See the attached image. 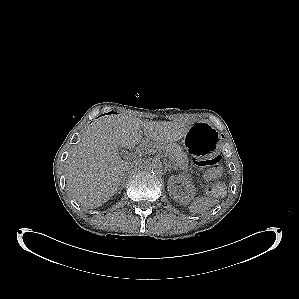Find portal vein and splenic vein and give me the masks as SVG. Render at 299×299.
Masks as SVG:
<instances>
[{"instance_id": "1", "label": "portal vein and splenic vein", "mask_w": 299, "mask_h": 299, "mask_svg": "<svg viewBox=\"0 0 299 299\" xmlns=\"http://www.w3.org/2000/svg\"><path fill=\"white\" fill-rule=\"evenodd\" d=\"M143 150H144V144L143 146L138 147L136 151L137 153H141Z\"/></svg>"}]
</instances>
